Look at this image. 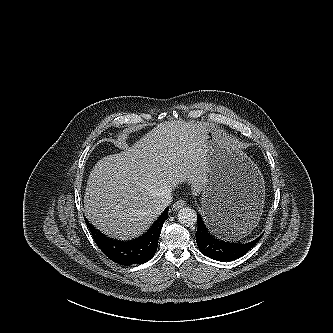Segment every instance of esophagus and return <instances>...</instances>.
<instances>
[{"instance_id": "1", "label": "esophagus", "mask_w": 333, "mask_h": 333, "mask_svg": "<svg viewBox=\"0 0 333 333\" xmlns=\"http://www.w3.org/2000/svg\"><path fill=\"white\" fill-rule=\"evenodd\" d=\"M186 205L184 200H178L177 202H175L172 206L174 211H177L181 208H183Z\"/></svg>"}]
</instances>
